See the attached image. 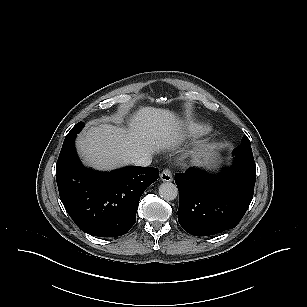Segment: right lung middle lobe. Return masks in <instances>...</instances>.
I'll list each match as a JSON object with an SVG mask.
<instances>
[{
  "label": "right lung middle lobe",
  "mask_w": 307,
  "mask_h": 307,
  "mask_svg": "<svg viewBox=\"0 0 307 307\" xmlns=\"http://www.w3.org/2000/svg\"><path fill=\"white\" fill-rule=\"evenodd\" d=\"M83 127H84V123H81V122L77 123V124L71 129V131L66 135V137L69 136V135H72V134H77V133H79V132L82 130Z\"/></svg>",
  "instance_id": "right-lung-middle-lobe-1"
}]
</instances>
